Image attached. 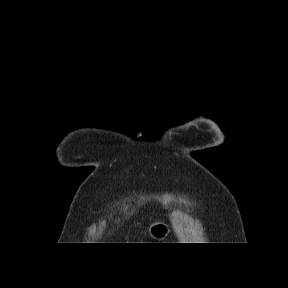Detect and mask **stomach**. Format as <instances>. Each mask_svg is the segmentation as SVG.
<instances>
[{
  "label": "stomach",
  "mask_w": 288,
  "mask_h": 288,
  "mask_svg": "<svg viewBox=\"0 0 288 288\" xmlns=\"http://www.w3.org/2000/svg\"><path fill=\"white\" fill-rule=\"evenodd\" d=\"M148 232L150 236L153 237L154 239L161 240L168 235L170 230L166 224L157 222L150 225Z\"/></svg>",
  "instance_id": "obj_1"
}]
</instances>
